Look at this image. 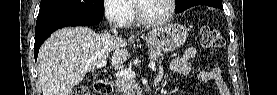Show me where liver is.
<instances>
[{
  "label": "liver",
  "mask_w": 277,
  "mask_h": 95,
  "mask_svg": "<svg viewBox=\"0 0 277 95\" xmlns=\"http://www.w3.org/2000/svg\"><path fill=\"white\" fill-rule=\"evenodd\" d=\"M127 42L87 27L57 30L41 46L38 56L39 84L43 95H70L74 86L111 53V64L127 59Z\"/></svg>",
  "instance_id": "obj_1"
}]
</instances>
